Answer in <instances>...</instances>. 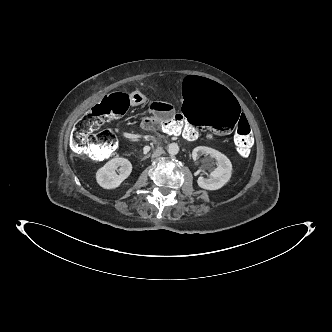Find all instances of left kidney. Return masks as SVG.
<instances>
[{
  "instance_id": "5707ae66",
  "label": "left kidney",
  "mask_w": 332,
  "mask_h": 332,
  "mask_svg": "<svg viewBox=\"0 0 332 332\" xmlns=\"http://www.w3.org/2000/svg\"><path fill=\"white\" fill-rule=\"evenodd\" d=\"M208 156L205 162H211L213 159L217 161V167L210 173V178L205 179L199 177L198 186L206 190H218L223 187L231 178L232 164L231 161L221 152L206 146H198L192 152L193 160H197L199 156Z\"/></svg>"
}]
</instances>
